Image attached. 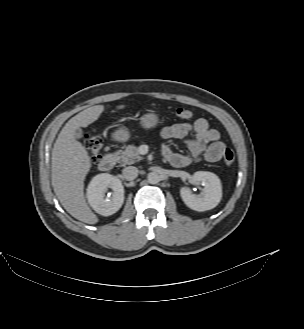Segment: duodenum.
I'll use <instances>...</instances> for the list:
<instances>
[{
    "label": "duodenum",
    "mask_w": 304,
    "mask_h": 329,
    "mask_svg": "<svg viewBox=\"0 0 304 329\" xmlns=\"http://www.w3.org/2000/svg\"><path fill=\"white\" fill-rule=\"evenodd\" d=\"M117 157L112 154L104 155L99 161V168L102 171H109L116 163Z\"/></svg>",
    "instance_id": "410a0bca"
}]
</instances>
